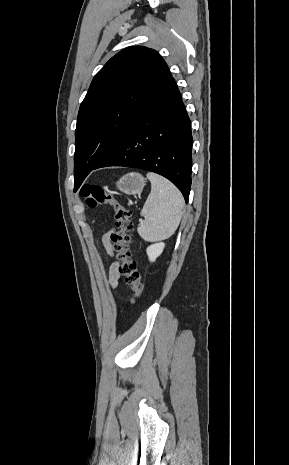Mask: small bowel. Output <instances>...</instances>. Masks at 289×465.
Returning a JSON list of instances; mask_svg holds the SVG:
<instances>
[{
  "label": "small bowel",
  "mask_w": 289,
  "mask_h": 465,
  "mask_svg": "<svg viewBox=\"0 0 289 465\" xmlns=\"http://www.w3.org/2000/svg\"><path fill=\"white\" fill-rule=\"evenodd\" d=\"M102 243L109 255L113 254V245L111 243V232L106 233L102 238ZM120 282V272L117 263H114L109 271V283L112 288H116Z\"/></svg>",
  "instance_id": "small-bowel-1"
}]
</instances>
